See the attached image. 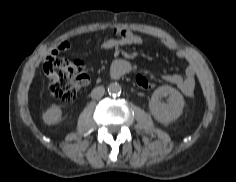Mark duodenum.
Listing matches in <instances>:
<instances>
[{"label":"duodenum","instance_id":"410a0bca","mask_svg":"<svg viewBox=\"0 0 236 182\" xmlns=\"http://www.w3.org/2000/svg\"><path fill=\"white\" fill-rule=\"evenodd\" d=\"M129 72V65L124 60H118L112 67V76L115 78H121L127 75Z\"/></svg>","mask_w":236,"mask_h":182}]
</instances>
